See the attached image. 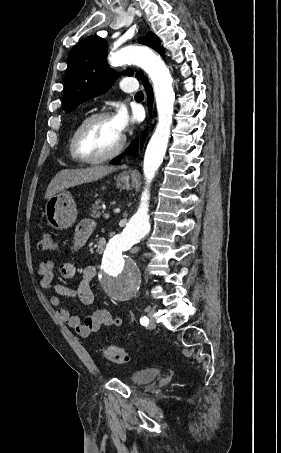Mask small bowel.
I'll use <instances>...</instances> for the list:
<instances>
[{
    "instance_id": "c3829d8e",
    "label": "small bowel",
    "mask_w": 281,
    "mask_h": 453,
    "mask_svg": "<svg viewBox=\"0 0 281 453\" xmlns=\"http://www.w3.org/2000/svg\"><path fill=\"white\" fill-rule=\"evenodd\" d=\"M95 231V222L90 219L81 220L76 228L75 238L72 245V253L76 254L88 241ZM105 241L99 240L96 246L97 251L102 252L105 249ZM96 267L87 265L82 272V278L77 288H71L61 284H55L54 264L50 259H44L37 267L36 273L40 286L43 289H54L60 295L70 299H78L83 304H90L93 301V293L90 283L95 276ZM60 275L63 278H74L77 275L75 264L66 261L60 266ZM50 302L53 307L58 309V315L61 321L67 323L70 328L81 338H89L96 333L101 326H120L123 321L120 316H114L106 310H96L85 323L81 322L80 317L63 306L60 296L52 295Z\"/></svg>"
}]
</instances>
